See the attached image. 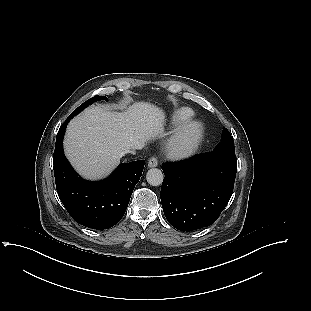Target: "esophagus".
I'll use <instances>...</instances> for the list:
<instances>
[{
	"label": "esophagus",
	"mask_w": 311,
	"mask_h": 311,
	"mask_svg": "<svg viewBox=\"0 0 311 311\" xmlns=\"http://www.w3.org/2000/svg\"><path fill=\"white\" fill-rule=\"evenodd\" d=\"M158 165V160L155 156L151 157L148 161V167L149 168H153L156 167Z\"/></svg>",
	"instance_id": "1"
}]
</instances>
